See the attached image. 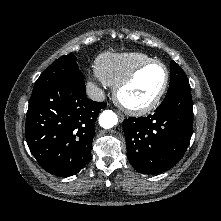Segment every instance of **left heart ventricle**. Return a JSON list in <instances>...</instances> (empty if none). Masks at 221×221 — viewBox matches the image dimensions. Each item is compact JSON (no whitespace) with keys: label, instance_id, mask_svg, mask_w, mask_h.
<instances>
[{"label":"left heart ventricle","instance_id":"obj_1","mask_svg":"<svg viewBox=\"0 0 221 221\" xmlns=\"http://www.w3.org/2000/svg\"><path fill=\"white\" fill-rule=\"evenodd\" d=\"M164 70L154 65L143 70L135 81L122 91V98L131 105H144L154 98L164 82Z\"/></svg>","mask_w":221,"mask_h":221}]
</instances>
